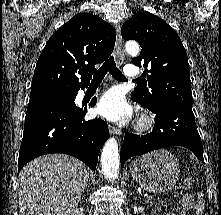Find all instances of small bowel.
<instances>
[{"label":"small bowel","mask_w":221,"mask_h":215,"mask_svg":"<svg viewBox=\"0 0 221 215\" xmlns=\"http://www.w3.org/2000/svg\"><path fill=\"white\" fill-rule=\"evenodd\" d=\"M166 215H174L173 213H168V214H166Z\"/></svg>","instance_id":"c3829d8e"}]
</instances>
